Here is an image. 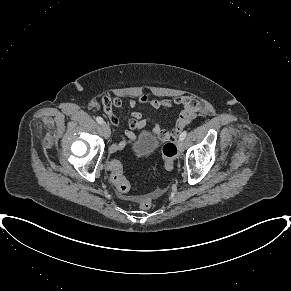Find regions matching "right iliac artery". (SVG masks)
<instances>
[{
	"label": "right iliac artery",
	"mask_w": 291,
	"mask_h": 291,
	"mask_svg": "<svg viewBox=\"0 0 291 291\" xmlns=\"http://www.w3.org/2000/svg\"><path fill=\"white\" fill-rule=\"evenodd\" d=\"M96 121L99 123V124H103L104 123V120L101 118V117H96Z\"/></svg>",
	"instance_id": "82829eb1"
}]
</instances>
